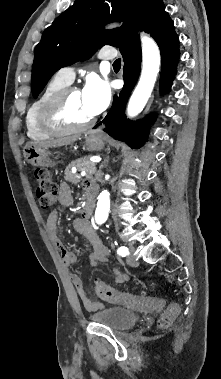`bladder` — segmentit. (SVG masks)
<instances>
[{"mask_svg": "<svg viewBox=\"0 0 221 379\" xmlns=\"http://www.w3.org/2000/svg\"><path fill=\"white\" fill-rule=\"evenodd\" d=\"M90 320L116 331H125L136 324L138 317L132 311L122 307H107L92 313Z\"/></svg>", "mask_w": 221, "mask_h": 379, "instance_id": "31cf9c89", "label": "bladder"}]
</instances>
